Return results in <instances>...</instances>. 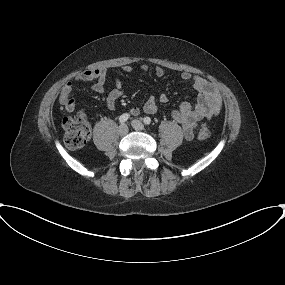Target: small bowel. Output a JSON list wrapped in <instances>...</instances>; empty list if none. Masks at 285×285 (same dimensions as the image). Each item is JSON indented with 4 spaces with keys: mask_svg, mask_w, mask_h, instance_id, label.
<instances>
[{
    "mask_svg": "<svg viewBox=\"0 0 285 285\" xmlns=\"http://www.w3.org/2000/svg\"><path fill=\"white\" fill-rule=\"evenodd\" d=\"M126 73L131 72L130 66L122 67ZM143 71H148L146 65L142 66ZM155 76L163 77L164 69L162 67H155L153 70ZM181 78L192 83L193 88L197 92V102L192 105L189 102H183L178 109L171 110V116L182 125L184 137L186 140H192L195 129L202 119H211L216 116L222 108V98L218 89L208 80L199 76L193 75L189 72H183ZM96 80L92 85V90L95 93H105V85L107 82V72L103 69H90L77 75L74 81L67 82L61 89L59 95L60 105L68 112H73L76 109V101L70 97L73 90L74 83ZM123 95L122 83L119 79H115V87L107 92L106 105L110 109L116 107V102ZM168 97L165 94L150 97L144 104L143 110L145 113L154 114L158 109L159 103H166ZM132 115H138L139 108H132L130 110Z\"/></svg>",
    "mask_w": 285,
    "mask_h": 285,
    "instance_id": "1",
    "label": "small bowel"
}]
</instances>
